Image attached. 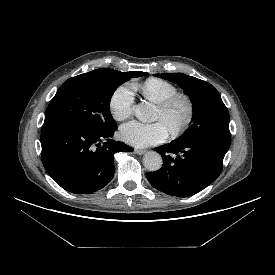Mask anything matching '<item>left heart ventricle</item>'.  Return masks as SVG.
Here are the masks:
<instances>
[{
    "label": "left heart ventricle",
    "mask_w": 275,
    "mask_h": 275,
    "mask_svg": "<svg viewBox=\"0 0 275 275\" xmlns=\"http://www.w3.org/2000/svg\"><path fill=\"white\" fill-rule=\"evenodd\" d=\"M186 114V105L180 102L167 113H163L160 109H158L155 119L163 122L170 132L171 130L177 128L183 122Z\"/></svg>",
    "instance_id": "1"
}]
</instances>
